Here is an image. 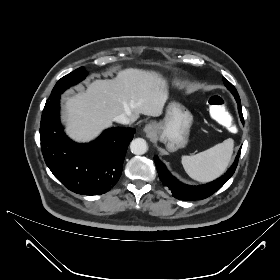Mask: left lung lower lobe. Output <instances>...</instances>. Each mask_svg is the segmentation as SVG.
<instances>
[{
	"label": "left lung lower lobe",
	"instance_id": "obj_1",
	"mask_svg": "<svg viewBox=\"0 0 280 280\" xmlns=\"http://www.w3.org/2000/svg\"><path fill=\"white\" fill-rule=\"evenodd\" d=\"M235 99L238 103V110H239L241 121L242 123H244L240 97H235ZM240 152H241V148L235 158L234 163L224 175H222L220 178H218L217 180L211 183L200 185V186H190L179 182L175 177H173L167 171L165 165L158 159L157 156L154 157V160L162 184L168 187L169 190L172 191V195L179 200L194 201V200L205 199L211 196L232 177L238 165Z\"/></svg>",
	"mask_w": 280,
	"mask_h": 280
}]
</instances>
